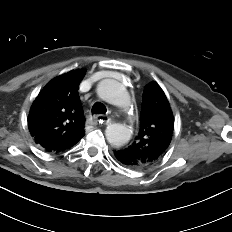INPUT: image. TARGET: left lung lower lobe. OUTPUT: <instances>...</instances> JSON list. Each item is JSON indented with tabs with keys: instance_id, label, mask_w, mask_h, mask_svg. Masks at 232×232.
I'll return each mask as SVG.
<instances>
[{
	"instance_id": "left-lung-lower-lobe-1",
	"label": "left lung lower lobe",
	"mask_w": 232,
	"mask_h": 232,
	"mask_svg": "<svg viewBox=\"0 0 232 232\" xmlns=\"http://www.w3.org/2000/svg\"><path fill=\"white\" fill-rule=\"evenodd\" d=\"M114 157L123 166L136 169V161L129 156L124 149L115 150Z\"/></svg>"
}]
</instances>
